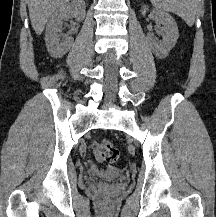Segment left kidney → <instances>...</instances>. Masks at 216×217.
<instances>
[{
	"label": "left kidney",
	"instance_id": "obj_1",
	"mask_svg": "<svg viewBox=\"0 0 216 217\" xmlns=\"http://www.w3.org/2000/svg\"><path fill=\"white\" fill-rule=\"evenodd\" d=\"M147 10L148 8L146 6L142 7L141 13L143 16L146 15ZM152 13L156 22L164 26L163 31L165 32V36L160 44L155 41L151 34L148 35L147 39L155 56L163 59L168 56L170 50L175 46L179 37V31L176 21L170 14L161 10H153Z\"/></svg>",
	"mask_w": 216,
	"mask_h": 217
}]
</instances>
